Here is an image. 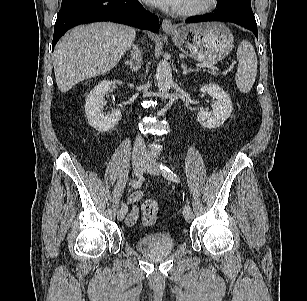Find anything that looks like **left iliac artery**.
<instances>
[{
  "label": "left iliac artery",
  "mask_w": 307,
  "mask_h": 301,
  "mask_svg": "<svg viewBox=\"0 0 307 301\" xmlns=\"http://www.w3.org/2000/svg\"><path fill=\"white\" fill-rule=\"evenodd\" d=\"M160 169L162 170L163 176L166 179L174 181V182H179L178 176L171 169H169L167 166H165L164 164H161ZM188 210H190V206L186 205L184 207V212H187Z\"/></svg>",
  "instance_id": "left-iliac-artery-1"
}]
</instances>
